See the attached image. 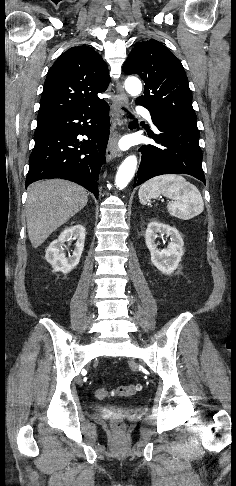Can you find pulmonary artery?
<instances>
[{
	"instance_id": "1",
	"label": "pulmonary artery",
	"mask_w": 236,
	"mask_h": 486,
	"mask_svg": "<svg viewBox=\"0 0 236 486\" xmlns=\"http://www.w3.org/2000/svg\"><path fill=\"white\" fill-rule=\"evenodd\" d=\"M136 110H137V113L146 117L152 123L150 112L146 108L139 106V107H137Z\"/></svg>"
}]
</instances>
